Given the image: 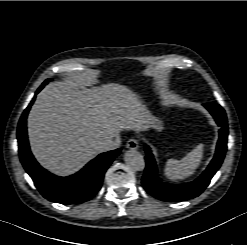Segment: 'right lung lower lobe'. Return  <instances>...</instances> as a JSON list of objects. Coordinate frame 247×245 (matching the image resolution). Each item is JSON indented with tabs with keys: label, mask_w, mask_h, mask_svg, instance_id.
<instances>
[{
	"label": "right lung lower lobe",
	"mask_w": 247,
	"mask_h": 245,
	"mask_svg": "<svg viewBox=\"0 0 247 245\" xmlns=\"http://www.w3.org/2000/svg\"><path fill=\"white\" fill-rule=\"evenodd\" d=\"M42 88L40 86L36 94ZM34 101L35 97L24 110L17 128L19 158L24 169L40 194L51 202L77 205L91 200L101 189L105 173L121 148L99 154L74 175L59 177L50 173L36 161L28 142L26 119Z\"/></svg>",
	"instance_id": "obj_1"
}]
</instances>
